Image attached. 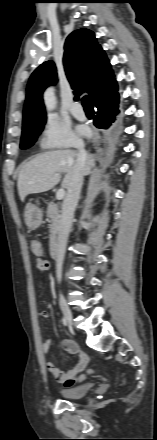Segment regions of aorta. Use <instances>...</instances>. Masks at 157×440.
Masks as SVG:
<instances>
[{"instance_id": "1", "label": "aorta", "mask_w": 157, "mask_h": 440, "mask_svg": "<svg viewBox=\"0 0 157 440\" xmlns=\"http://www.w3.org/2000/svg\"><path fill=\"white\" fill-rule=\"evenodd\" d=\"M44 103L48 111L56 107V98L53 88H48L44 93Z\"/></svg>"}]
</instances>
